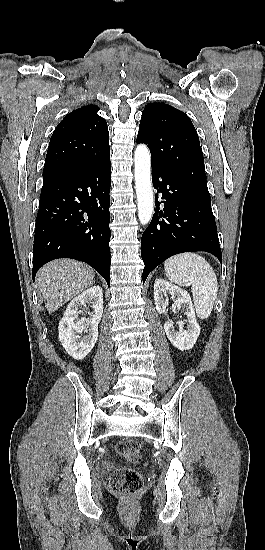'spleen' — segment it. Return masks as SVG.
<instances>
[{"label":"spleen","instance_id":"1","mask_svg":"<svg viewBox=\"0 0 265 550\" xmlns=\"http://www.w3.org/2000/svg\"><path fill=\"white\" fill-rule=\"evenodd\" d=\"M164 269L172 283L191 286L197 316L207 319L217 296L218 282L206 259L196 253H183L167 259Z\"/></svg>","mask_w":265,"mask_h":550}]
</instances>
